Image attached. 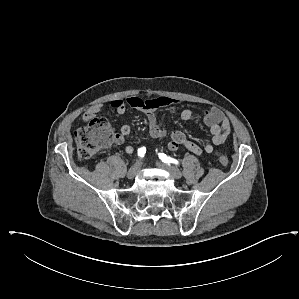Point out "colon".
Segmentation results:
<instances>
[{"label":"colon","instance_id":"1","mask_svg":"<svg viewBox=\"0 0 299 299\" xmlns=\"http://www.w3.org/2000/svg\"><path fill=\"white\" fill-rule=\"evenodd\" d=\"M78 158L82 161L88 160L99 151L109 148L116 140L110 123L104 117L95 116L91 118L84 127L74 133ZM223 166L229 163L225 155L219 157Z\"/></svg>","mask_w":299,"mask_h":299}]
</instances>
